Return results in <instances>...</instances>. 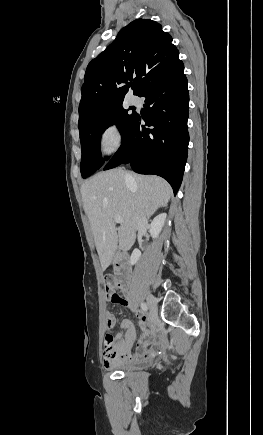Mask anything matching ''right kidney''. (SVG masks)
I'll return each mask as SVG.
<instances>
[{"mask_svg":"<svg viewBox=\"0 0 263 435\" xmlns=\"http://www.w3.org/2000/svg\"><path fill=\"white\" fill-rule=\"evenodd\" d=\"M167 214L162 213L156 216L149 226V232L153 238H157L159 233L164 226ZM141 257V252L138 249H135L130 257V264L135 265Z\"/></svg>","mask_w":263,"mask_h":435,"instance_id":"ca27d5eb","label":"right kidney"}]
</instances>
